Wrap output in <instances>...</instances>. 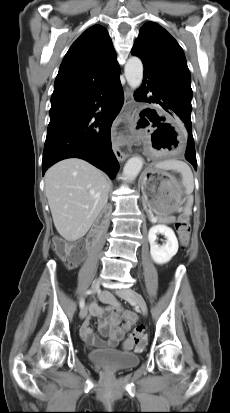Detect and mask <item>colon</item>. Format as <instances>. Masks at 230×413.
<instances>
[{
    "label": "colon",
    "instance_id": "obj_1",
    "mask_svg": "<svg viewBox=\"0 0 230 413\" xmlns=\"http://www.w3.org/2000/svg\"><path fill=\"white\" fill-rule=\"evenodd\" d=\"M176 231L178 233L177 243L183 247L189 246L188 236L190 226L186 217H181L176 223ZM55 253L65 259L69 267L74 266L84 255L86 246L82 243H68L64 240H56L53 244ZM145 339V329L143 326H136L130 334L129 340L132 344L139 346Z\"/></svg>",
    "mask_w": 230,
    "mask_h": 413
}]
</instances>
